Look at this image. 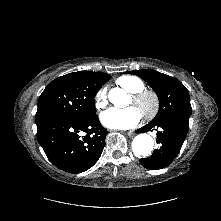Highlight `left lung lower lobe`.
Instances as JSON below:
<instances>
[{
    "instance_id": "left-lung-lower-lobe-1",
    "label": "left lung lower lobe",
    "mask_w": 221,
    "mask_h": 221,
    "mask_svg": "<svg viewBox=\"0 0 221 221\" xmlns=\"http://www.w3.org/2000/svg\"><path fill=\"white\" fill-rule=\"evenodd\" d=\"M155 128H159L156 141L160 147L155 149L150 157L140 159V163L150 170L162 169L177 157L188 132L189 117L172 116L160 122L149 123L136 133L156 130Z\"/></svg>"
}]
</instances>
